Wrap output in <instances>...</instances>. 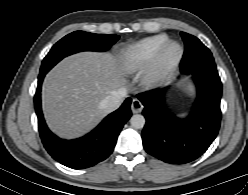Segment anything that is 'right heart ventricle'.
<instances>
[{"mask_svg": "<svg viewBox=\"0 0 248 195\" xmlns=\"http://www.w3.org/2000/svg\"><path fill=\"white\" fill-rule=\"evenodd\" d=\"M169 40L166 34H156L126 46L120 52V63L128 73H138L147 69L160 48Z\"/></svg>", "mask_w": 248, "mask_h": 195, "instance_id": "obj_1", "label": "right heart ventricle"}]
</instances>
